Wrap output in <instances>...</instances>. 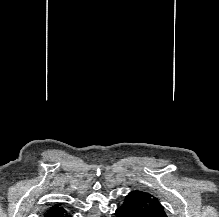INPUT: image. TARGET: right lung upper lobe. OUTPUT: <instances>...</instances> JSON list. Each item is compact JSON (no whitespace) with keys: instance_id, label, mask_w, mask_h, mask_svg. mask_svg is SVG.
<instances>
[{"instance_id":"cb5924a9","label":"right lung upper lobe","mask_w":219,"mask_h":217,"mask_svg":"<svg viewBox=\"0 0 219 217\" xmlns=\"http://www.w3.org/2000/svg\"><path fill=\"white\" fill-rule=\"evenodd\" d=\"M59 208H61V207H60V204H55V205H53L52 207L48 208L47 211H46V213H47V212L56 211V210H58Z\"/></svg>"}]
</instances>
